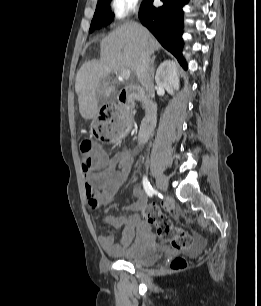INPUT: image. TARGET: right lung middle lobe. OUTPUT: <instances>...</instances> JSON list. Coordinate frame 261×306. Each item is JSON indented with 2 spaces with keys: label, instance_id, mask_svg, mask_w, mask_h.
I'll return each mask as SVG.
<instances>
[{
  "label": "right lung middle lobe",
  "instance_id": "1",
  "mask_svg": "<svg viewBox=\"0 0 261 306\" xmlns=\"http://www.w3.org/2000/svg\"><path fill=\"white\" fill-rule=\"evenodd\" d=\"M111 0H98L96 11L92 19L89 32H93L95 29H99L102 26H106L114 18V14L110 11Z\"/></svg>",
  "mask_w": 261,
  "mask_h": 306
}]
</instances>
